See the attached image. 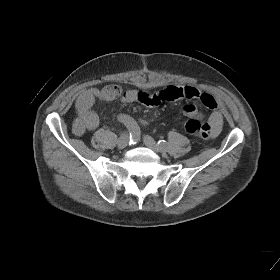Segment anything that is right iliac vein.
<instances>
[{"instance_id": "63e3f726", "label": "right iliac vein", "mask_w": 280, "mask_h": 280, "mask_svg": "<svg viewBox=\"0 0 280 280\" xmlns=\"http://www.w3.org/2000/svg\"><path fill=\"white\" fill-rule=\"evenodd\" d=\"M129 142V136L127 134H122L118 141H117V145L119 149H123L128 145Z\"/></svg>"}]
</instances>
